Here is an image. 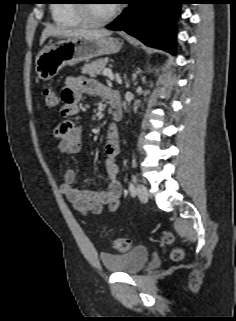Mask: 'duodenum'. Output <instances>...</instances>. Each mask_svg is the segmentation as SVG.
I'll list each match as a JSON object with an SVG mask.
<instances>
[{"label": "duodenum", "mask_w": 236, "mask_h": 321, "mask_svg": "<svg viewBox=\"0 0 236 321\" xmlns=\"http://www.w3.org/2000/svg\"><path fill=\"white\" fill-rule=\"evenodd\" d=\"M110 111L112 114V117L116 121H120L123 117V109L122 104L119 99V96H113L110 98Z\"/></svg>", "instance_id": "duodenum-1"}]
</instances>
